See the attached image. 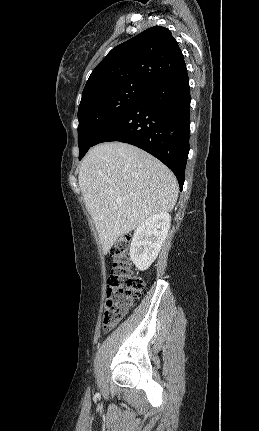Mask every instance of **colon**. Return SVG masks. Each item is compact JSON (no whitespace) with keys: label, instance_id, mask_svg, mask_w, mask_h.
Returning <instances> with one entry per match:
<instances>
[{"label":"colon","instance_id":"colon-1","mask_svg":"<svg viewBox=\"0 0 259 431\" xmlns=\"http://www.w3.org/2000/svg\"><path fill=\"white\" fill-rule=\"evenodd\" d=\"M130 237L117 240L110 250L112 269L108 278L103 328L110 330L140 299L144 289L143 279L136 275L129 262Z\"/></svg>","mask_w":259,"mask_h":431}]
</instances>
